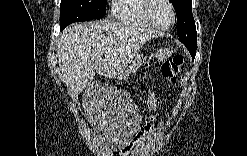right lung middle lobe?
Returning a JSON list of instances; mask_svg holds the SVG:
<instances>
[{
  "label": "right lung middle lobe",
  "instance_id": "right-lung-middle-lobe-1",
  "mask_svg": "<svg viewBox=\"0 0 247 156\" xmlns=\"http://www.w3.org/2000/svg\"><path fill=\"white\" fill-rule=\"evenodd\" d=\"M106 14V0H61L60 29L78 22L99 19Z\"/></svg>",
  "mask_w": 247,
  "mask_h": 156
}]
</instances>
